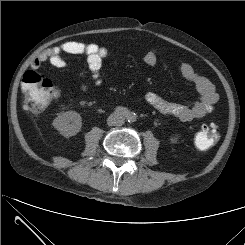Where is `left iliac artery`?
<instances>
[{"label": "left iliac artery", "mask_w": 245, "mask_h": 245, "mask_svg": "<svg viewBox=\"0 0 245 245\" xmlns=\"http://www.w3.org/2000/svg\"><path fill=\"white\" fill-rule=\"evenodd\" d=\"M134 115L131 113V114H129V116H128V119L130 120V121H133L134 120Z\"/></svg>", "instance_id": "44dca946"}]
</instances>
